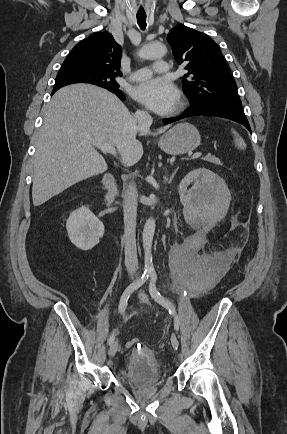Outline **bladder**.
<instances>
[{"instance_id":"obj_1","label":"bladder","mask_w":287,"mask_h":434,"mask_svg":"<svg viewBox=\"0 0 287 434\" xmlns=\"http://www.w3.org/2000/svg\"><path fill=\"white\" fill-rule=\"evenodd\" d=\"M162 376L160 363L152 352H132L120 370L121 379L128 385L145 386L157 383Z\"/></svg>"}]
</instances>
